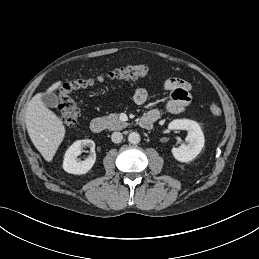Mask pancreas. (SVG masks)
<instances>
[{
    "label": "pancreas",
    "instance_id": "obj_1",
    "mask_svg": "<svg viewBox=\"0 0 259 259\" xmlns=\"http://www.w3.org/2000/svg\"><path fill=\"white\" fill-rule=\"evenodd\" d=\"M106 123L107 129L113 130H122L128 126L127 122H123L120 120L119 115L116 113H112L108 116L103 117Z\"/></svg>",
    "mask_w": 259,
    "mask_h": 259
}]
</instances>
